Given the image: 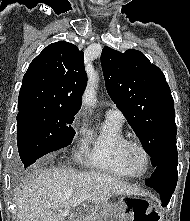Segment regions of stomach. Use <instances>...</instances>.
Listing matches in <instances>:
<instances>
[{
    "instance_id": "obj_1",
    "label": "stomach",
    "mask_w": 190,
    "mask_h": 221,
    "mask_svg": "<svg viewBox=\"0 0 190 221\" xmlns=\"http://www.w3.org/2000/svg\"><path fill=\"white\" fill-rule=\"evenodd\" d=\"M159 208L151 200H118V204H104L96 209L94 221H159ZM146 217V218H126Z\"/></svg>"
}]
</instances>
